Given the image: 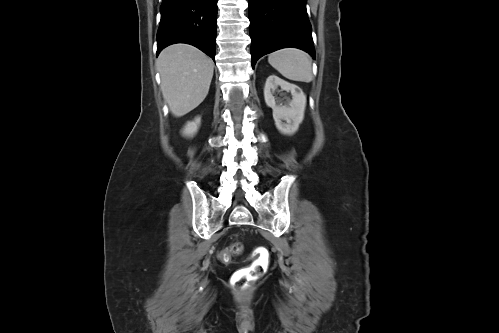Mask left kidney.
Masks as SVG:
<instances>
[{
  "label": "left kidney",
  "instance_id": "obj_1",
  "mask_svg": "<svg viewBox=\"0 0 499 333\" xmlns=\"http://www.w3.org/2000/svg\"><path fill=\"white\" fill-rule=\"evenodd\" d=\"M278 86L281 90L291 92L292 100L287 105H283L282 100L273 96ZM264 98L267 106L273 110L277 129L285 135L294 134L304 119L306 96L303 91L297 85L284 81L276 75H270L265 83Z\"/></svg>",
  "mask_w": 499,
  "mask_h": 333
}]
</instances>
